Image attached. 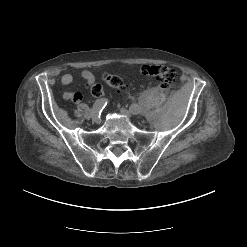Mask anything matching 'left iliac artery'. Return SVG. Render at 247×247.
Returning a JSON list of instances; mask_svg holds the SVG:
<instances>
[{
	"mask_svg": "<svg viewBox=\"0 0 247 247\" xmlns=\"http://www.w3.org/2000/svg\"><path fill=\"white\" fill-rule=\"evenodd\" d=\"M130 113L132 115H138L140 113V107L138 104H132L130 107Z\"/></svg>",
	"mask_w": 247,
	"mask_h": 247,
	"instance_id": "obj_1",
	"label": "left iliac artery"
}]
</instances>
